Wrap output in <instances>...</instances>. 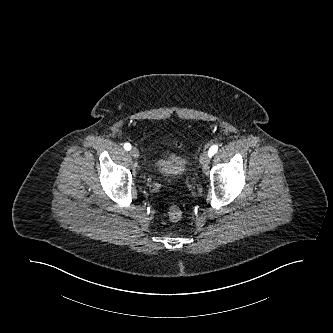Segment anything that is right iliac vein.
<instances>
[{"label": "right iliac vein", "instance_id": "1", "mask_svg": "<svg viewBox=\"0 0 333 333\" xmlns=\"http://www.w3.org/2000/svg\"><path fill=\"white\" fill-rule=\"evenodd\" d=\"M130 155H131L134 159L138 158V157H139V151H138V149H136V148H132V149L130 150Z\"/></svg>", "mask_w": 333, "mask_h": 333}]
</instances>
